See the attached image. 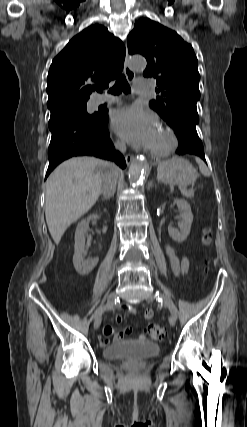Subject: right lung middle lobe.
<instances>
[{"label":"right lung middle lobe","instance_id":"right-lung-middle-lobe-1","mask_svg":"<svg viewBox=\"0 0 247 427\" xmlns=\"http://www.w3.org/2000/svg\"><path fill=\"white\" fill-rule=\"evenodd\" d=\"M59 112L76 114L90 121L97 120L100 117L99 114L89 115L86 110V105L67 107L60 110Z\"/></svg>","mask_w":247,"mask_h":427}]
</instances>
